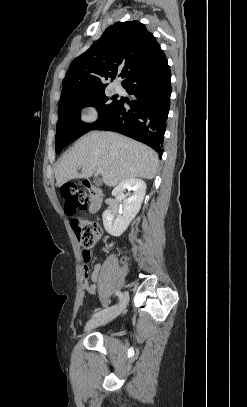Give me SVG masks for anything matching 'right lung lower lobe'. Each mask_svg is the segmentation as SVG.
I'll return each instance as SVG.
<instances>
[{"instance_id": "right-lung-lower-lobe-1", "label": "right lung lower lobe", "mask_w": 247, "mask_h": 407, "mask_svg": "<svg viewBox=\"0 0 247 407\" xmlns=\"http://www.w3.org/2000/svg\"><path fill=\"white\" fill-rule=\"evenodd\" d=\"M171 73L168 61L142 68L133 73L123 84L136 97L124 108L120 99L116 108L94 129L121 133L140 141L163 154V140L170 108ZM127 102V101H126Z\"/></svg>"}]
</instances>
